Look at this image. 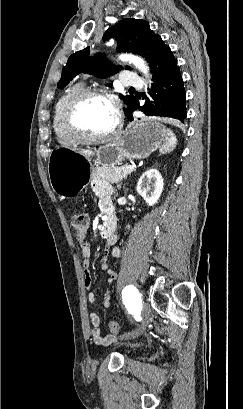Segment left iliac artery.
Here are the masks:
<instances>
[{
  "instance_id": "1",
  "label": "left iliac artery",
  "mask_w": 243,
  "mask_h": 409,
  "mask_svg": "<svg viewBox=\"0 0 243 409\" xmlns=\"http://www.w3.org/2000/svg\"><path fill=\"white\" fill-rule=\"evenodd\" d=\"M133 292H137V290L133 287V286H128V287H126L124 290H123V295H124V297H126V298H130L131 299V301L134 303V306L135 307H138L139 306V304H140V301H139V299L137 300V299H135L134 298V295L132 296V293Z\"/></svg>"
}]
</instances>
